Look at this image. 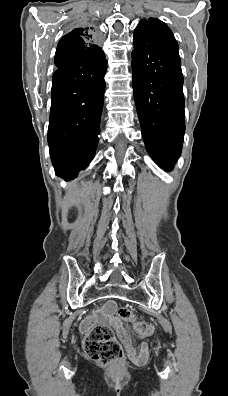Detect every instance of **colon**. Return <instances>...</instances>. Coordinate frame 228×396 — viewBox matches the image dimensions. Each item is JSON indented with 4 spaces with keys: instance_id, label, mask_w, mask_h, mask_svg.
Instances as JSON below:
<instances>
[{
    "instance_id": "5ec220e1",
    "label": "colon",
    "mask_w": 228,
    "mask_h": 396,
    "mask_svg": "<svg viewBox=\"0 0 228 396\" xmlns=\"http://www.w3.org/2000/svg\"><path fill=\"white\" fill-rule=\"evenodd\" d=\"M118 315L122 320L134 323V329L138 334L150 335L153 331L151 324L135 321L134 313L129 308H120ZM84 351L89 359L101 365L120 362L124 356L121 345L106 325H99L91 330L84 343Z\"/></svg>"
}]
</instances>
